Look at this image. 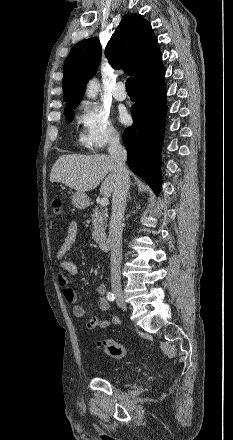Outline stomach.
<instances>
[{"instance_id": "obj_1", "label": "stomach", "mask_w": 233, "mask_h": 440, "mask_svg": "<svg viewBox=\"0 0 233 440\" xmlns=\"http://www.w3.org/2000/svg\"><path fill=\"white\" fill-rule=\"evenodd\" d=\"M72 204L77 209H85L89 206V198L86 193L76 191L72 195Z\"/></svg>"}]
</instances>
